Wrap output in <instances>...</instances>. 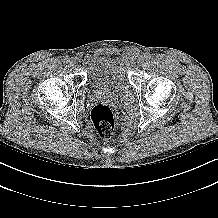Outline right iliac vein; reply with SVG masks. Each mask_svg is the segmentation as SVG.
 <instances>
[{
  "instance_id": "63e3f726",
  "label": "right iliac vein",
  "mask_w": 218,
  "mask_h": 218,
  "mask_svg": "<svg viewBox=\"0 0 218 218\" xmlns=\"http://www.w3.org/2000/svg\"><path fill=\"white\" fill-rule=\"evenodd\" d=\"M68 62H69V64H70L71 66H76V64H77V61H76V59H75V58H73V57H72V58H70Z\"/></svg>"
}]
</instances>
